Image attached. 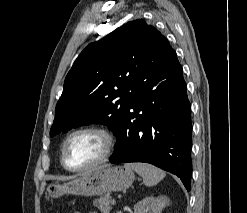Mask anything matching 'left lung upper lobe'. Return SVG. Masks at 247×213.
Returning a JSON list of instances; mask_svg holds the SVG:
<instances>
[{
	"label": "left lung upper lobe",
	"instance_id": "1",
	"mask_svg": "<svg viewBox=\"0 0 247 213\" xmlns=\"http://www.w3.org/2000/svg\"><path fill=\"white\" fill-rule=\"evenodd\" d=\"M171 51L143 19L89 44L66 76L50 136L91 123L107 125L117 136L150 69Z\"/></svg>",
	"mask_w": 247,
	"mask_h": 213
}]
</instances>
